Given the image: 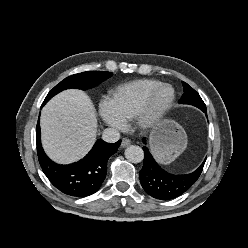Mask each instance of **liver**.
<instances>
[{
    "label": "liver",
    "mask_w": 248,
    "mask_h": 248,
    "mask_svg": "<svg viewBox=\"0 0 248 248\" xmlns=\"http://www.w3.org/2000/svg\"><path fill=\"white\" fill-rule=\"evenodd\" d=\"M42 145L57 163L68 164L84 157L97 137V118L89 96L76 89L63 91L42 109Z\"/></svg>",
    "instance_id": "liver-1"
}]
</instances>
